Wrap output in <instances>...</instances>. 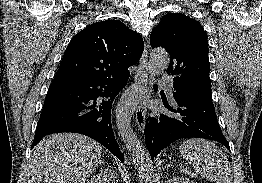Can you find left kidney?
<instances>
[{
  "mask_svg": "<svg viewBox=\"0 0 262 183\" xmlns=\"http://www.w3.org/2000/svg\"><path fill=\"white\" fill-rule=\"evenodd\" d=\"M169 183H197V182H193L190 181L189 179L185 178V177H175L173 179H170L168 181Z\"/></svg>",
  "mask_w": 262,
  "mask_h": 183,
  "instance_id": "5707ae66",
  "label": "left kidney"
}]
</instances>
